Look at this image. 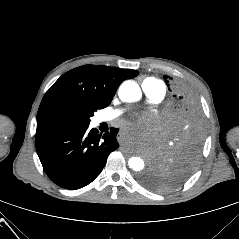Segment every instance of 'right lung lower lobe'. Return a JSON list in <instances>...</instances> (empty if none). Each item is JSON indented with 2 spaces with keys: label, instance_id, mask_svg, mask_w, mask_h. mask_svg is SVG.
Returning a JSON list of instances; mask_svg holds the SVG:
<instances>
[{
  "label": "right lung lower lobe",
  "instance_id": "1",
  "mask_svg": "<svg viewBox=\"0 0 239 239\" xmlns=\"http://www.w3.org/2000/svg\"><path fill=\"white\" fill-rule=\"evenodd\" d=\"M89 124L36 138V150L48 177L65 189H79L102 171L109 154L119 147V129L105 134L88 130Z\"/></svg>",
  "mask_w": 239,
  "mask_h": 239
}]
</instances>
